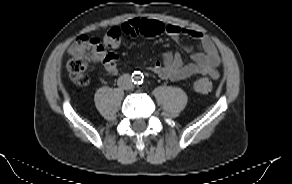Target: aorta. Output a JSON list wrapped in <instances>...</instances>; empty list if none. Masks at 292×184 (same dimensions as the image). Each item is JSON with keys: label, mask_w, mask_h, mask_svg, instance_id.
Instances as JSON below:
<instances>
[{"label": "aorta", "mask_w": 292, "mask_h": 184, "mask_svg": "<svg viewBox=\"0 0 292 184\" xmlns=\"http://www.w3.org/2000/svg\"><path fill=\"white\" fill-rule=\"evenodd\" d=\"M134 79H135V81H139L141 79V76L140 75H135Z\"/></svg>", "instance_id": "762f6f07"}]
</instances>
